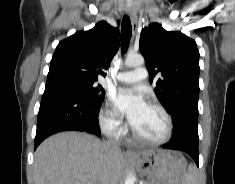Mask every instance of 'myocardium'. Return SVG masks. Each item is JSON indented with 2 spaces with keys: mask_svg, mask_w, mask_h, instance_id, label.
<instances>
[{
  "mask_svg": "<svg viewBox=\"0 0 235 184\" xmlns=\"http://www.w3.org/2000/svg\"><path fill=\"white\" fill-rule=\"evenodd\" d=\"M148 106L159 110L164 115L166 122H167V130H166L165 135L159 139L145 138V137L140 136L135 131V129L132 127V129H131L132 136L136 141H138L140 143H144V144H148V145H152V146L164 145L167 142H169L173 136V131H174L173 118H172L171 114L169 113V111L163 105H161L159 103L152 102Z\"/></svg>",
  "mask_w": 235,
  "mask_h": 184,
  "instance_id": "1",
  "label": "myocardium"
}]
</instances>
